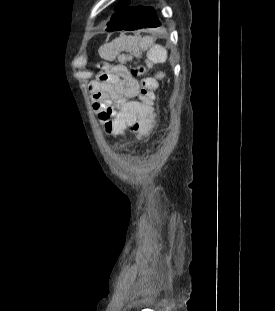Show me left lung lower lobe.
<instances>
[{"instance_id": "left-lung-lower-lobe-1", "label": "left lung lower lobe", "mask_w": 275, "mask_h": 311, "mask_svg": "<svg viewBox=\"0 0 275 311\" xmlns=\"http://www.w3.org/2000/svg\"><path fill=\"white\" fill-rule=\"evenodd\" d=\"M160 22L156 16L155 10L152 7H142L137 18L128 25L124 30L133 31L147 28H157Z\"/></svg>"}]
</instances>
